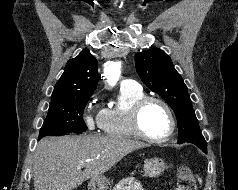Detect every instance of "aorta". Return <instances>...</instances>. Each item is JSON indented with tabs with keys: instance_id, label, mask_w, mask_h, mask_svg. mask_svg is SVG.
<instances>
[{
	"instance_id": "762f6f07",
	"label": "aorta",
	"mask_w": 238,
	"mask_h": 190,
	"mask_svg": "<svg viewBox=\"0 0 238 190\" xmlns=\"http://www.w3.org/2000/svg\"><path fill=\"white\" fill-rule=\"evenodd\" d=\"M104 74L111 86H114L120 75V62H109L105 65Z\"/></svg>"
}]
</instances>
